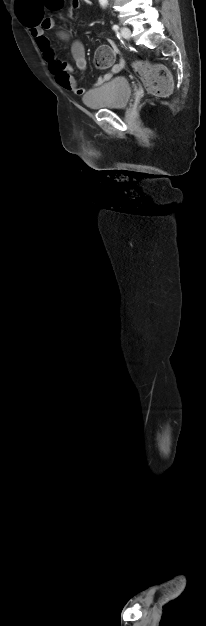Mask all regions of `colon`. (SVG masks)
<instances>
[{
    "label": "colon",
    "mask_w": 206,
    "mask_h": 626,
    "mask_svg": "<svg viewBox=\"0 0 206 626\" xmlns=\"http://www.w3.org/2000/svg\"><path fill=\"white\" fill-rule=\"evenodd\" d=\"M63 0H45V3L51 9H59L63 5ZM30 19L27 24H33ZM114 61V51L107 45L98 47L94 62L97 68H109ZM134 70L144 83L149 93L154 96L164 97L170 93L172 89V78L169 71L162 65L151 64L143 61H136L133 64Z\"/></svg>",
    "instance_id": "obj_1"
}]
</instances>
